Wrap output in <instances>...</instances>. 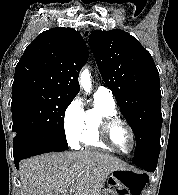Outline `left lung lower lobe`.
Returning <instances> with one entry per match:
<instances>
[{"label": "left lung lower lobe", "mask_w": 178, "mask_h": 195, "mask_svg": "<svg viewBox=\"0 0 178 195\" xmlns=\"http://www.w3.org/2000/svg\"><path fill=\"white\" fill-rule=\"evenodd\" d=\"M160 148L134 155L132 162L148 172H154L157 167Z\"/></svg>", "instance_id": "left-lung-lower-lobe-1"}]
</instances>
